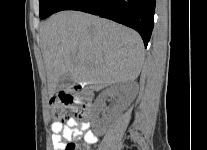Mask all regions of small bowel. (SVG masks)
I'll list each match as a JSON object with an SVG mask.
<instances>
[{
    "instance_id": "1",
    "label": "small bowel",
    "mask_w": 207,
    "mask_h": 150,
    "mask_svg": "<svg viewBox=\"0 0 207 150\" xmlns=\"http://www.w3.org/2000/svg\"><path fill=\"white\" fill-rule=\"evenodd\" d=\"M51 129L54 150H65L67 144L81 137L84 139L85 150H89L90 145L98 141V136L91 130L89 122L77 124L73 118H69L66 123L53 122Z\"/></svg>"
}]
</instances>
